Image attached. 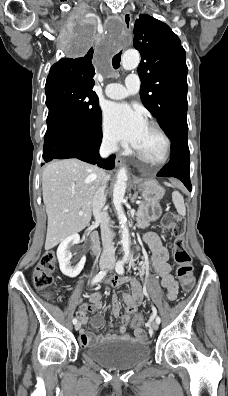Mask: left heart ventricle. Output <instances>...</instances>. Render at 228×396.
Instances as JSON below:
<instances>
[{"label":"left heart ventricle","mask_w":228,"mask_h":396,"mask_svg":"<svg viewBox=\"0 0 228 396\" xmlns=\"http://www.w3.org/2000/svg\"><path fill=\"white\" fill-rule=\"evenodd\" d=\"M136 149L148 159L158 160L164 154L165 142L157 131L146 126Z\"/></svg>","instance_id":"obj_1"}]
</instances>
